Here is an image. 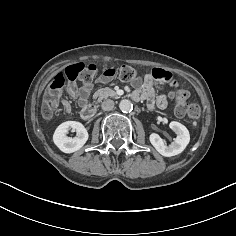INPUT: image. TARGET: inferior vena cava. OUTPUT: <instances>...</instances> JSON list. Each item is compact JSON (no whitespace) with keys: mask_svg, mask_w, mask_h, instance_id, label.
Listing matches in <instances>:
<instances>
[{"mask_svg":"<svg viewBox=\"0 0 236 236\" xmlns=\"http://www.w3.org/2000/svg\"><path fill=\"white\" fill-rule=\"evenodd\" d=\"M101 107L104 111H110L114 108V101L111 99H107L102 102Z\"/></svg>","mask_w":236,"mask_h":236,"instance_id":"inferior-vena-cava-1","label":"inferior vena cava"}]
</instances>
